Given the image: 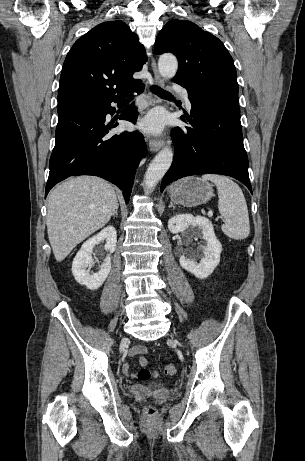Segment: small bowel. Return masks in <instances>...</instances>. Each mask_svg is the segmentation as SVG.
Segmentation results:
<instances>
[{
    "label": "small bowel",
    "instance_id": "c3829d8e",
    "mask_svg": "<svg viewBox=\"0 0 305 461\" xmlns=\"http://www.w3.org/2000/svg\"><path fill=\"white\" fill-rule=\"evenodd\" d=\"M149 352L148 348L142 345H137L130 350V356L137 357L138 363L142 367H146L149 364V360L144 356ZM123 373L127 377H135L136 373L132 371L128 364L123 366Z\"/></svg>",
    "mask_w": 305,
    "mask_h": 461
}]
</instances>
